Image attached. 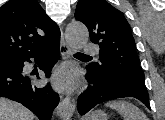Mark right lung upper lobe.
Masks as SVG:
<instances>
[{
	"mask_svg": "<svg viewBox=\"0 0 165 120\" xmlns=\"http://www.w3.org/2000/svg\"><path fill=\"white\" fill-rule=\"evenodd\" d=\"M60 38V30L36 0L0 7V64L34 53Z\"/></svg>",
	"mask_w": 165,
	"mask_h": 120,
	"instance_id": "right-lung-upper-lobe-1",
	"label": "right lung upper lobe"
}]
</instances>
